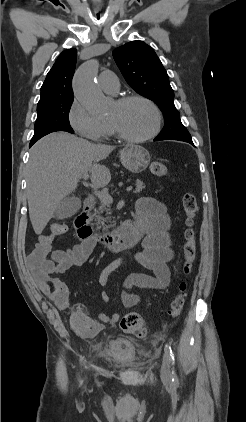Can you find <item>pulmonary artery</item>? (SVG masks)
Wrapping results in <instances>:
<instances>
[{
    "mask_svg": "<svg viewBox=\"0 0 246 422\" xmlns=\"http://www.w3.org/2000/svg\"><path fill=\"white\" fill-rule=\"evenodd\" d=\"M98 84L102 90L108 93H117L119 90L118 78L111 71H103L98 77Z\"/></svg>",
    "mask_w": 246,
    "mask_h": 422,
    "instance_id": "pulmonary-artery-1",
    "label": "pulmonary artery"
}]
</instances>
